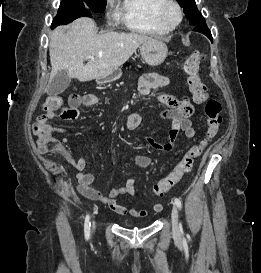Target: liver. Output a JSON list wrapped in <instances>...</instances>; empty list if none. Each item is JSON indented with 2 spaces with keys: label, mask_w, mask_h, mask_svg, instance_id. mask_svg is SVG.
Instances as JSON below:
<instances>
[{
  "label": "liver",
  "mask_w": 261,
  "mask_h": 273,
  "mask_svg": "<svg viewBox=\"0 0 261 273\" xmlns=\"http://www.w3.org/2000/svg\"><path fill=\"white\" fill-rule=\"evenodd\" d=\"M49 39V84L61 70H67L70 78L80 82L104 79L119 69L142 43L152 40L137 33L109 32L98 35L94 20L87 17L57 27Z\"/></svg>",
  "instance_id": "6515ba94"
}]
</instances>
